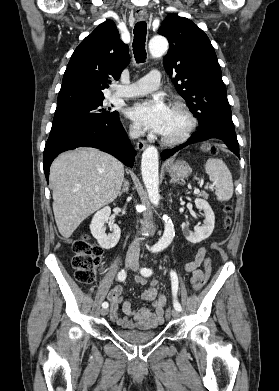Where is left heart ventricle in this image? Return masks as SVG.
<instances>
[{
	"label": "left heart ventricle",
	"instance_id": "obj_1",
	"mask_svg": "<svg viewBox=\"0 0 279 391\" xmlns=\"http://www.w3.org/2000/svg\"><path fill=\"white\" fill-rule=\"evenodd\" d=\"M187 127V119L178 110H169L162 135L167 137H176L180 135Z\"/></svg>",
	"mask_w": 279,
	"mask_h": 391
}]
</instances>
